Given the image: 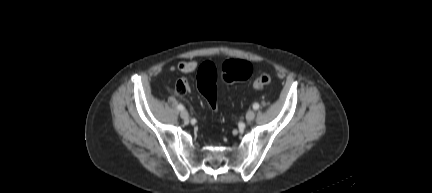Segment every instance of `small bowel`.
<instances>
[{
    "label": "small bowel",
    "mask_w": 432,
    "mask_h": 193,
    "mask_svg": "<svg viewBox=\"0 0 432 193\" xmlns=\"http://www.w3.org/2000/svg\"><path fill=\"white\" fill-rule=\"evenodd\" d=\"M197 68V62L194 60L181 61L177 65V69L183 73H191ZM188 82L185 79H181L176 84V90L179 93H184L188 89ZM179 89H183V92H180Z\"/></svg>",
    "instance_id": "1"
}]
</instances>
